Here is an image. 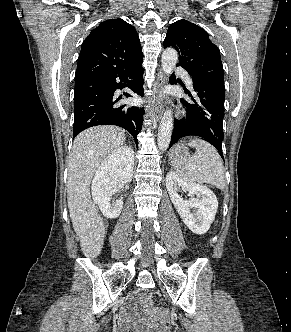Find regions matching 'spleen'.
I'll return each mask as SVG.
<instances>
[{
    "mask_svg": "<svg viewBox=\"0 0 291 332\" xmlns=\"http://www.w3.org/2000/svg\"><path fill=\"white\" fill-rule=\"evenodd\" d=\"M188 145L195 147L196 153L187 160L172 161L177 174L190 182L208 183L224 189V167L217 150L202 139L191 140Z\"/></svg>",
    "mask_w": 291,
    "mask_h": 332,
    "instance_id": "spleen-1",
    "label": "spleen"
}]
</instances>
